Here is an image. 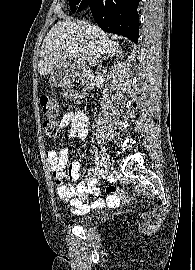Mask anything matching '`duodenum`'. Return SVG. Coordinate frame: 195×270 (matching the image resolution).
Masks as SVG:
<instances>
[{
	"label": "duodenum",
	"instance_id": "410a0bca",
	"mask_svg": "<svg viewBox=\"0 0 195 270\" xmlns=\"http://www.w3.org/2000/svg\"><path fill=\"white\" fill-rule=\"evenodd\" d=\"M83 79H84L87 89H91L93 85V80H94L93 75L89 71H86L83 73Z\"/></svg>",
	"mask_w": 195,
	"mask_h": 270
}]
</instances>
